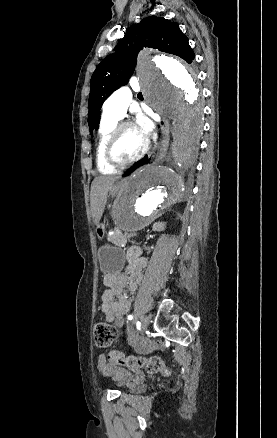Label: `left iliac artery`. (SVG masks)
I'll return each instance as SVG.
<instances>
[{
	"label": "left iliac artery",
	"mask_w": 277,
	"mask_h": 438,
	"mask_svg": "<svg viewBox=\"0 0 277 438\" xmlns=\"http://www.w3.org/2000/svg\"><path fill=\"white\" fill-rule=\"evenodd\" d=\"M133 319V315H129L128 317H127V320H132Z\"/></svg>",
	"instance_id": "obj_1"
}]
</instances>
